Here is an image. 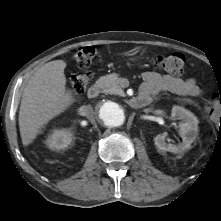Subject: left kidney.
I'll use <instances>...</instances> for the list:
<instances>
[{
  "instance_id": "5707ae66",
  "label": "left kidney",
  "mask_w": 221,
  "mask_h": 221,
  "mask_svg": "<svg viewBox=\"0 0 221 221\" xmlns=\"http://www.w3.org/2000/svg\"><path fill=\"white\" fill-rule=\"evenodd\" d=\"M171 116L175 119L181 120L179 123L180 135L182 137V143L179 145L168 144L165 142V136L158 134L155 138V145L162 151H168L171 153H181L190 149L191 144L198 136V119L190 111L180 106H174L172 108Z\"/></svg>"
}]
</instances>
